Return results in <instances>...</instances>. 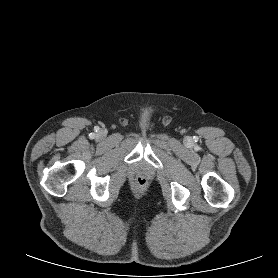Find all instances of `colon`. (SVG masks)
Instances as JSON below:
<instances>
[{
    "mask_svg": "<svg viewBox=\"0 0 278 278\" xmlns=\"http://www.w3.org/2000/svg\"><path fill=\"white\" fill-rule=\"evenodd\" d=\"M146 185V180L142 177L136 179V186L138 188H143Z\"/></svg>",
    "mask_w": 278,
    "mask_h": 278,
    "instance_id": "5ec220e1",
    "label": "colon"
}]
</instances>
